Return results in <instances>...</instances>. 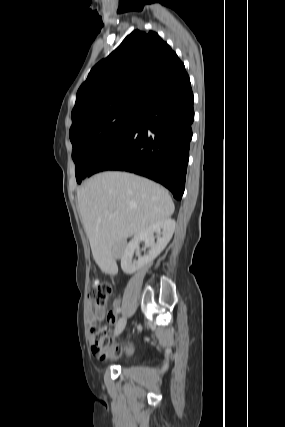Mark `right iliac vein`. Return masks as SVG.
<instances>
[{"mask_svg":"<svg viewBox=\"0 0 285 427\" xmlns=\"http://www.w3.org/2000/svg\"><path fill=\"white\" fill-rule=\"evenodd\" d=\"M125 326H126V319L125 318L120 319L115 327V331H114L115 336H118L119 334H121Z\"/></svg>","mask_w":285,"mask_h":427,"instance_id":"1","label":"right iliac vein"}]
</instances>
